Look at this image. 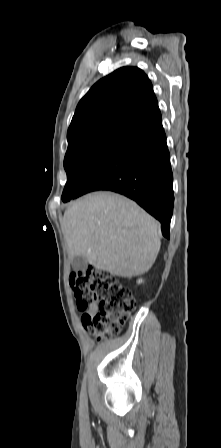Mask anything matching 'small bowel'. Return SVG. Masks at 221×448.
<instances>
[{"instance_id": "small-bowel-1", "label": "small bowel", "mask_w": 221, "mask_h": 448, "mask_svg": "<svg viewBox=\"0 0 221 448\" xmlns=\"http://www.w3.org/2000/svg\"><path fill=\"white\" fill-rule=\"evenodd\" d=\"M96 310V307L95 306H92L91 308H90V311H95Z\"/></svg>"}]
</instances>
